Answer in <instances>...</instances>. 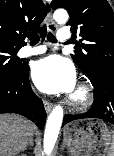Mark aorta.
Here are the masks:
<instances>
[{"label":"aorta","mask_w":114,"mask_h":156,"mask_svg":"<svg viewBox=\"0 0 114 156\" xmlns=\"http://www.w3.org/2000/svg\"><path fill=\"white\" fill-rule=\"evenodd\" d=\"M54 20L58 24H64L68 21V13L64 9H57L54 12ZM63 120V108L60 105L54 107L52 112L50 113L45 133H44V151L46 154H50L53 150L55 142L57 140L60 127L62 125Z\"/></svg>","instance_id":"obj_1"}]
</instances>
